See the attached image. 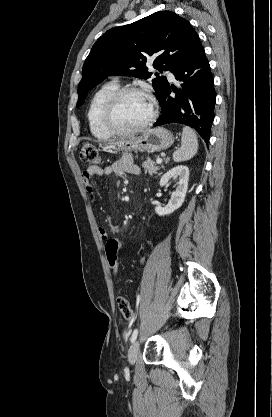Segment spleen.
<instances>
[{
  "mask_svg": "<svg viewBox=\"0 0 272 417\" xmlns=\"http://www.w3.org/2000/svg\"><path fill=\"white\" fill-rule=\"evenodd\" d=\"M198 150V139L193 129L184 127L181 138V147L173 153L175 162L187 161L194 157Z\"/></svg>",
  "mask_w": 272,
  "mask_h": 417,
  "instance_id": "3e777b00",
  "label": "spleen"
}]
</instances>
